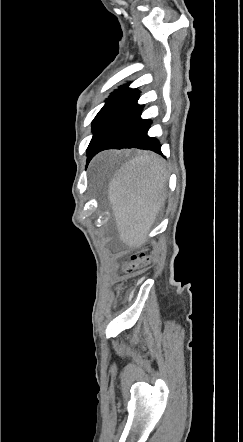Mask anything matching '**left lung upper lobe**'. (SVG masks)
Instances as JSON below:
<instances>
[{"mask_svg":"<svg viewBox=\"0 0 243 442\" xmlns=\"http://www.w3.org/2000/svg\"><path fill=\"white\" fill-rule=\"evenodd\" d=\"M134 89L128 88V85H123L120 87V89L115 90L113 93H111V96L107 99V102L102 107V109L99 111V113L96 115L92 122V130L94 131L99 124V122L102 120V118L105 116V114L118 102L120 101L126 94L131 92Z\"/></svg>","mask_w":243,"mask_h":442,"instance_id":"5c2ea615","label":"left lung upper lobe"}]
</instances>
